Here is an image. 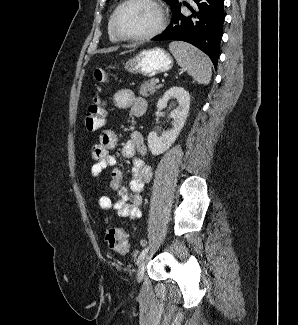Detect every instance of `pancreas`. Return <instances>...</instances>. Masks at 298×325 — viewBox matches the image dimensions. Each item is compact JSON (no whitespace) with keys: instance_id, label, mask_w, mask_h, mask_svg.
<instances>
[{"instance_id":"1","label":"pancreas","mask_w":298,"mask_h":325,"mask_svg":"<svg viewBox=\"0 0 298 325\" xmlns=\"http://www.w3.org/2000/svg\"><path fill=\"white\" fill-rule=\"evenodd\" d=\"M163 84H156L154 80H144L140 86L139 94L141 96H151L156 92L157 88H161Z\"/></svg>"}]
</instances>
